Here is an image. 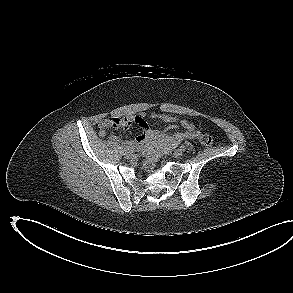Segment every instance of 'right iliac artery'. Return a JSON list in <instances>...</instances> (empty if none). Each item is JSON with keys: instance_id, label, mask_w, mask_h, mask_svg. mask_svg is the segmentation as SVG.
<instances>
[{"instance_id": "82829eb1", "label": "right iliac artery", "mask_w": 293, "mask_h": 293, "mask_svg": "<svg viewBox=\"0 0 293 293\" xmlns=\"http://www.w3.org/2000/svg\"><path fill=\"white\" fill-rule=\"evenodd\" d=\"M120 149H121L122 152H125L127 150H132L134 148L133 147H130V146H121Z\"/></svg>"}]
</instances>
